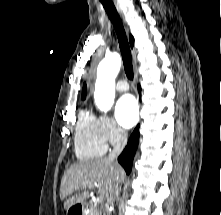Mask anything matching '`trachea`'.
<instances>
[{"mask_svg":"<svg viewBox=\"0 0 221 215\" xmlns=\"http://www.w3.org/2000/svg\"><path fill=\"white\" fill-rule=\"evenodd\" d=\"M116 31L122 53L123 65L128 79H133L132 56L122 21L111 0H100Z\"/></svg>","mask_w":221,"mask_h":215,"instance_id":"3493384b","label":"trachea"}]
</instances>
